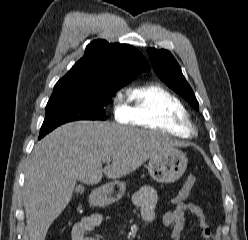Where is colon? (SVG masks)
I'll return each instance as SVG.
<instances>
[{"mask_svg": "<svg viewBox=\"0 0 248 240\" xmlns=\"http://www.w3.org/2000/svg\"><path fill=\"white\" fill-rule=\"evenodd\" d=\"M194 183H195V176H193V175L188 176L187 179L185 180L183 187L181 188V190L177 194V196H175L172 199V202L175 204H179V203L184 202V200L190 194V192L194 186Z\"/></svg>", "mask_w": 248, "mask_h": 240, "instance_id": "1", "label": "colon"}]
</instances>
